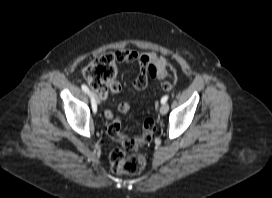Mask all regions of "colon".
Masks as SVG:
<instances>
[{"instance_id": "obj_1", "label": "colon", "mask_w": 272, "mask_h": 198, "mask_svg": "<svg viewBox=\"0 0 272 198\" xmlns=\"http://www.w3.org/2000/svg\"><path fill=\"white\" fill-rule=\"evenodd\" d=\"M121 60L122 57L118 52H107L98 56L84 71L86 81L99 94L111 92V85L116 74V62ZM155 72V67L148 65L142 74L136 78L135 86L144 88L147 79L153 77ZM162 88L165 91H170L172 84L164 82ZM120 129L121 121L119 118L113 119L107 128L108 135L115 141V147L109 156L111 169L118 174L133 175L139 173L146 165V158L139 152V147L153 139L156 131L155 122L153 119H147L139 137L123 135Z\"/></svg>"}]
</instances>
